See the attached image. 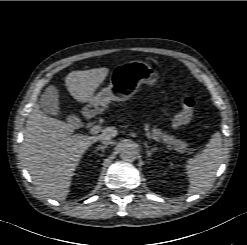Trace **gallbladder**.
<instances>
[{"instance_id":"obj_1","label":"gallbladder","mask_w":247,"mask_h":245,"mask_svg":"<svg viewBox=\"0 0 247 245\" xmlns=\"http://www.w3.org/2000/svg\"><path fill=\"white\" fill-rule=\"evenodd\" d=\"M39 106L46 113L61 117L58 90L53 86L46 88L45 92L41 95Z\"/></svg>"}]
</instances>
